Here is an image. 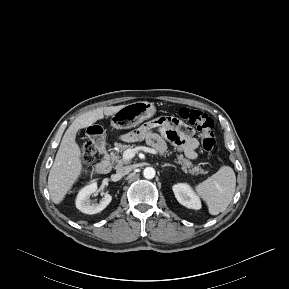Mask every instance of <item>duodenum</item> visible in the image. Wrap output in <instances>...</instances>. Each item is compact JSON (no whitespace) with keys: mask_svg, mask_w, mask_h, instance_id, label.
I'll use <instances>...</instances> for the list:
<instances>
[{"mask_svg":"<svg viewBox=\"0 0 289 289\" xmlns=\"http://www.w3.org/2000/svg\"><path fill=\"white\" fill-rule=\"evenodd\" d=\"M99 151L102 156V159L100 160V162L96 164L95 170L99 174H105V173H108L112 168L110 156H109L108 151L103 145L99 147Z\"/></svg>","mask_w":289,"mask_h":289,"instance_id":"duodenum-1","label":"duodenum"}]
</instances>
